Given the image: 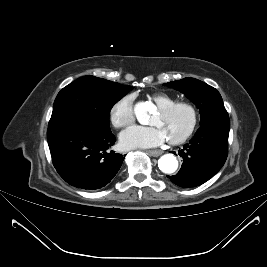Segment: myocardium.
I'll return each instance as SVG.
<instances>
[{
  "label": "myocardium",
  "instance_id": "obj_1",
  "mask_svg": "<svg viewBox=\"0 0 267 267\" xmlns=\"http://www.w3.org/2000/svg\"><path fill=\"white\" fill-rule=\"evenodd\" d=\"M178 108H186L189 110V112L191 114V122H190V125L187 128V130L182 135H180L179 137H176V138H169L168 139V142L170 144H173V145L181 144V143L185 142L186 140H188L195 132V130L198 126V122H199L198 109L191 102H187V101L175 102V103H172L170 105L159 108L158 111L163 115H167Z\"/></svg>",
  "mask_w": 267,
  "mask_h": 267
}]
</instances>
